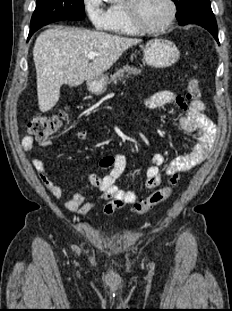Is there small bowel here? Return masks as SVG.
Wrapping results in <instances>:
<instances>
[{
	"mask_svg": "<svg viewBox=\"0 0 232 311\" xmlns=\"http://www.w3.org/2000/svg\"><path fill=\"white\" fill-rule=\"evenodd\" d=\"M168 104H174L186 112L185 115L178 118L179 125L184 131L196 134L197 142L189 153L172 160L168 164H166V157L163 154H155L152 157L151 165L145 173V187L149 189L155 188L160 184L162 173L184 172L201 164L211 152L216 138V126L205 115V106L202 101L188 102L170 90H159L145 99V105L149 109H157ZM74 138L78 141L85 140L87 132L79 130L75 132ZM36 144L49 146L52 144V141L49 139L37 140L31 134H27L22 139V149L29 156ZM31 161L45 187L54 197L61 198L64 190L53 181L52 173L45 163L38 157H31ZM100 165L107 173L103 176L91 175L87 178V183L100 191L99 197L85 200V196L81 191H75L65 204L67 210L84 216L96 204L105 202L103 213L106 216H110L124 205L138 201L139 197L137 194L122 190L116 185V181L122 175L126 165V158L123 154L106 156L101 160Z\"/></svg>",
	"mask_w": 232,
	"mask_h": 311,
	"instance_id": "c3829d8e",
	"label": "small bowel"
}]
</instances>
